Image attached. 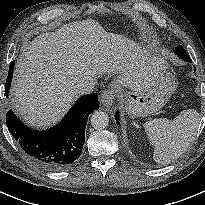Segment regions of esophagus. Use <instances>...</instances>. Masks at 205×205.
I'll use <instances>...</instances> for the list:
<instances>
[{"label":"esophagus","mask_w":205,"mask_h":205,"mask_svg":"<svg viewBox=\"0 0 205 205\" xmlns=\"http://www.w3.org/2000/svg\"><path fill=\"white\" fill-rule=\"evenodd\" d=\"M115 94L114 90L108 89L104 90L101 94V104L104 107H110L114 104Z\"/></svg>","instance_id":"obj_1"}]
</instances>
